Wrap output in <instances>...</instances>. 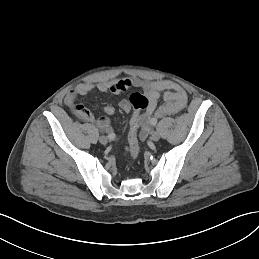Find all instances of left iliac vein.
I'll return each instance as SVG.
<instances>
[{
    "instance_id": "1",
    "label": "left iliac vein",
    "mask_w": 259,
    "mask_h": 259,
    "mask_svg": "<svg viewBox=\"0 0 259 259\" xmlns=\"http://www.w3.org/2000/svg\"><path fill=\"white\" fill-rule=\"evenodd\" d=\"M151 139H152L153 141H158V140L160 139V134H159V132L154 131V132L152 133V135H151Z\"/></svg>"
}]
</instances>
